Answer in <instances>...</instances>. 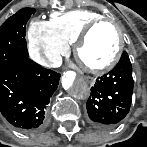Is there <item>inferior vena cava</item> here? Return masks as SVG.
Returning <instances> with one entry per match:
<instances>
[{
	"instance_id": "obj_1",
	"label": "inferior vena cava",
	"mask_w": 147,
	"mask_h": 147,
	"mask_svg": "<svg viewBox=\"0 0 147 147\" xmlns=\"http://www.w3.org/2000/svg\"><path fill=\"white\" fill-rule=\"evenodd\" d=\"M62 64V59L60 58L59 60H57L56 62L49 64L50 67H59Z\"/></svg>"
}]
</instances>
